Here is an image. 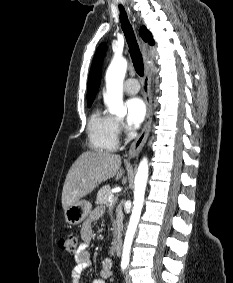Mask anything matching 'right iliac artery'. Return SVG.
I'll return each instance as SVG.
<instances>
[{"instance_id": "1", "label": "right iliac artery", "mask_w": 233, "mask_h": 283, "mask_svg": "<svg viewBox=\"0 0 233 283\" xmlns=\"http://www.w3.org/2000/svg\"><path fill=\"white\" fill-rule=\"evenodd\" d=\"M126 269V266H122V271L124 272V270Z\"/></svg>"}]
</instances>
